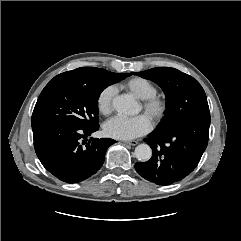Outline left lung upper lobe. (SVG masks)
<instances>
[{"mask_svg":"<svg viewBox=\"0 0 241 241\" xmlns=\"http://www.w3.org/2000/svg\"><path fill=\"white\" fill-rule=\"evenodd\" d=\"M132 74L156 82L166 95L165 116L155 130L167 132L201 118H210L206 94L190 75L169 67Z\"/></svg>","mask_w":241,"mask_h":241,"instance_id":"obj_1","label":"left lung upper lobe"}]
</instances>
